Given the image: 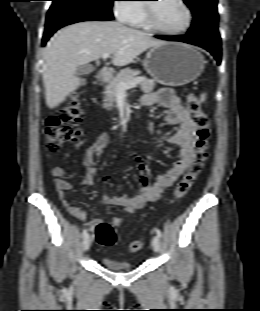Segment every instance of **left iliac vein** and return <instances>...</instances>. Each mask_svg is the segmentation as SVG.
Segmentation results:
<instances>
[{
    "mask_svg": "<svg viewBox=\"0 0 260 311\" xmlns=\"http://www.w3.org/2000/svg\"><path fill=\"white\" fill-rule=\"evenodd\" d=\"M151 244H152L153 250H154L155 252H159V250H160V239H159L158 236H154V237L152 238Z\"/></svg>",
    "mask_w": 260,
    "mask_h": 311,
    "instance_id": "4c4485c4",
    "label": "left iliac vein"
}]
</instances>
